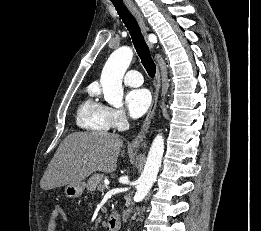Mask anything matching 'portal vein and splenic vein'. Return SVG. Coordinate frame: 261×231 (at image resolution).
I'll return each mask as SVG.
<instances>
[{
    "label": "portal vein and splenic vein",
    "mask_w": 261,
    "mask_h": 231,
    "mask_svg": "<svg viewBox=\"0 0 261 231\" xmlns=\"http://www.w3.org/2000/svg\"><path fill=\"white\" fill-rule=\"evenodd\" d=\"M98 189H99L100 191H104V190H105V186L99 187Z\"/></svg>",
    "instance_id": "portal-vein-and-splenic-vein-1"
}]
</instances>
